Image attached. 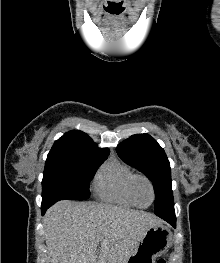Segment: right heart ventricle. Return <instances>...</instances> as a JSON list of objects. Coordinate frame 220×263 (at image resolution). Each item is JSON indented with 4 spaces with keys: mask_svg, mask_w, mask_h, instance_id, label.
<instances>
[{
    "mask_svg": "<svg viewBox=\"0 0 220 263\" xmlns=\"http://www.w3.org/2000/svg\"><path fill=\"white\" fill-rule=\"evenodd\" d=\"M134 175L125 163L117 159L109 160L96 174L93 189L96 195L107 203L134 207L129 194V184Z\"/></svg>",
    "mask_w": 220,
    "mask_h": 263,
    "instance_id": "1",
    "label": "right heart ventricle"
}]
</instances>
